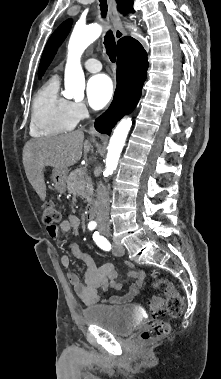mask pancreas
<instances>
[{"instance_id": "obj_1", "label": "pancreas", "mask_w": 221, "mask_h": 379, "mask_svg": "<svg viewBox=\"0 0 221 379\" xmlns=\"http://www.w3.org/2000/svg\"><path fill=\"white\" fill-rule=\"evenodd\" d=\"M85 175L86 171L82 168L72 171L67 177V189L70 193L90 201L93 196V186L89 178L85 179Z\"/></svg>"}]
</instances>
